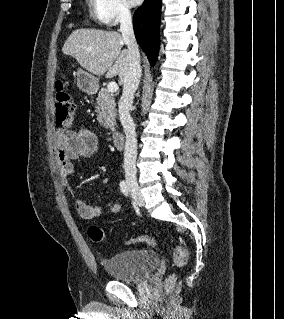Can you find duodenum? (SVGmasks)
<instances>
[{
    "mask_svg": "<svg viewBox=\"0 0 284 319\" xmlns=\"http://www.w3.org/2000/svg\"><path fill=\"white\" fill-rule=\"evenodd\" d=\"M112 140L113 144L117 149H122L125 144V137L124 134L120 131H113L112 133Z\"/></svg>",
    "mask_w": 284,
    "mask_h": 319,
    "instance_id": "obj_1",
    "label": "duodenum"
}]
</instances>
